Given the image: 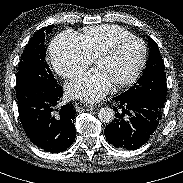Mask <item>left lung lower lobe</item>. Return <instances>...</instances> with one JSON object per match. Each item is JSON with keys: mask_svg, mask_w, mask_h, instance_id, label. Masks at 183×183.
Listing matches in <instances>:
<instances>
[{"mask_svg": "<svg viewBox=\"0 0 183 183\" xmlns=\"http://www.w3.org/2000/svg\"><path fill=\"white\" fill-rule=\"evenodd\" d=\"M118 106L115 119L104 130L107 141L116 148L133 150L148 141L162 118V108L125 94L114 97Z\"/></svg>", "mask_w": 183, "mask_h": 183, "instance_id": "0a47b994", "label": "left lung lower lobe"}]
</instances>
